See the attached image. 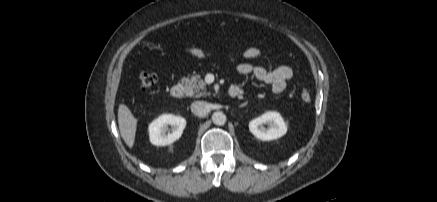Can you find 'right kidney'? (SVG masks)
<instances>
[{
  "label": "right kidney",
  "instance_id": "ca27d5eb",
  "mask_svg": "<svg viewBox=\"0 0 437 202\" xmlns=\"http://www.w3.org/2000/svg\"><path fill=\"white\" fill-rule=\"evenodd\" d=\"M168 125L172 127V131L166 134ZM185 126L186 120L183 117L161 115L149 125L150 141L156 146L172 144L181 137Z\"/></svg>",
  "mask_w": 437,
  "mask_h": 202
}]
</instances>
